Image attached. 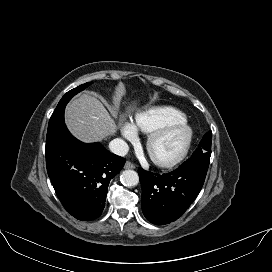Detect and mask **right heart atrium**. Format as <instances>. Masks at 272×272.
<instances>
[{
  "instance_id": "d8ad5b80",
  "label": "right heart atrium",
  "mask_w": 272,
  "mask_h": 272,
  "mask_svg": "<svg viewBox=\"0 0 272 272\" xmlns=\"http://www.w3.org/2000/svg\"><path fill=\"white\" fill-rule=\"evenodd\" d=\"M121 132L123 137L127 140L135 141L137 139V131L131 123H124L121 127Z\"/></svg>"
}]
</instances>
